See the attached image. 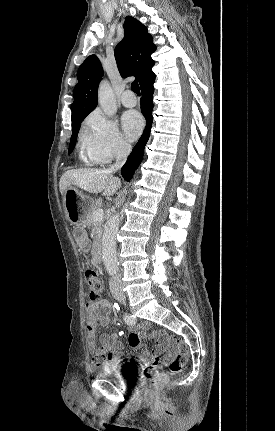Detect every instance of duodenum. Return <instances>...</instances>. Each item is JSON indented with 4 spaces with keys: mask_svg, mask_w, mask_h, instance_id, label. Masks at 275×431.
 I'll return each instance as SVG.
<instances>
[{
    "mask_svg": "<svg viewBox=\"0 0 275 431\" xmlns=\"http://www.w3.org/2000/svg\"><path fill=\"white\" fill-rule=\"evenodd\" d=\"M93 260L96 264H101L103 262V251L100 241H97L92 248Z\"/></svg>",
    "mask_w": 275,
    "mask_h": 431,
    "instance_id": "duodenum-1",
    "label": "duodenum"
}]
</instances>
